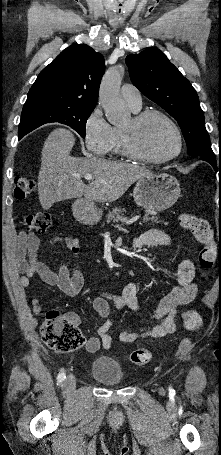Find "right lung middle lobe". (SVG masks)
Returning <instances> with one entry per match:
<instances>
[{"label":"right lung middle lobe","mask_w":221,"mask_h":455,"mask_svg":"<svg viewBox=\"0 0 221 455\" xmlns=\"http://www.w3.org/2000/svg\"><path fill=\"white\" fill-rule=\"evenodd\" d=\"M95 106H76L54 103L24 105L19 124V139L37 127L50 122L66 124L85 137L86 120Z\"/></svg>","instance_id":"1"}]
</instances>
